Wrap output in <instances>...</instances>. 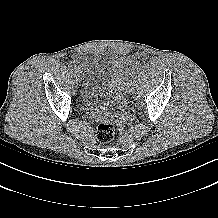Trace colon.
Segmentation results:
<instances>
[{
	"instance_id": "obj_1",
	"label": "colon",
	"mask_w": 218,
	"mask_h": 218,
	"mask_svg": "<svg viewBox=\"0 0 218 218\" xmlns=\"http://www.w3.org/2000/svg\"><path fill=\"white\" fill-rule=\"evenodd\" d=\"M114 138V127L109 121H100L96 129V139L99 143L105 144Z\"/></svg>"
}]
</instances>
